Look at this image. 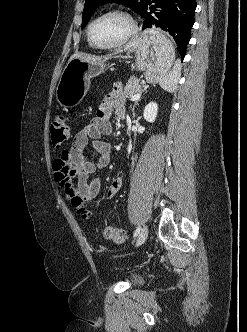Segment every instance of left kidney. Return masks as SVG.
<instances>
[{
	"instance_id": "left-kidney-1",
	"label": "left kidney",
	"mask_w": 247,
	"mask_h": 332,
	"mask_svg": "<svg viewBox=\"0 0 247 332\" xmlns=\"http://www.w3.org/2000/svg\"><path fill=\"white\" fill-rule=\"evenodd\" d=\"M157 113L158 105L155 102H150L145 106L143 116L146 121L153 123L156 120Z\"/></svg>"
}]
</instances>
